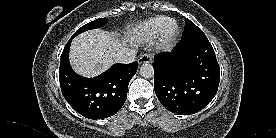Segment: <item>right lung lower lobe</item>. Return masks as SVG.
Instances as JSON below:
<instances>
[{
	"label": "right lung lower lobe",
	"mask_w": 276,
	"mask_h": 138,
	"mask_svg": "<svg viewBox=\"0 0 276 138\" xmlns=\"http://www.w3.org/2000/svg\"><path fill=\"white\" fill-rule=\"evenodd\" d=\"M66 44L60 59L59 81L66 101L89 119H103L116 114L123 106L128 84L135 75L138 63L114 64L94 78H84L72 70L69 63V47Z\"/></svg>",
	"instance_id": "obj_1"
}]
</instances>
